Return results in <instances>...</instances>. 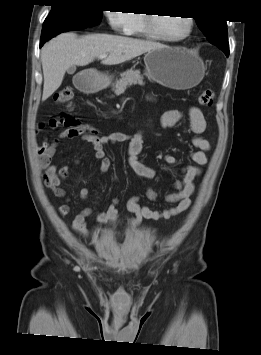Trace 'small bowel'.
<instances>
[{"label":"small bowel","mask_w":261,"mask_h":355,"mask_svg":"<svg viewBox=\"0 0 261 355\" xmlns=\"http://www.w3.org/2000/svg\"><path fill=\"white\" fill-rule=\"evenodd\" d=\"M189 126L192 133L191 148L187 152V157L190 163L184 164L181 167L182 179L174 183L172 191L166 194L163 201L172 204L170 208L164 210H154L140 203L138 197H132L128 200L126 207L133 216L129 219L130 226L135 227L142 223L143 220H161L169 219L186 211L191 205V196L195 190V178L201 173L199 166L207 163L206 151L209 148V142L201 137V134L206 130V120L202 111L197 107L189 109ZM183 118V114L178 110H170L163 114L161 125L163 128H172L176 126ZM49 125L52 128H57L59 125H64L66 129L60 132L52 140H44L37 146L39 163L44 170L43 182L50 189L54 196L62 198L65 203L57 208V212L61 217L67 216L71 211V198L66 194V191L61 187L63 181L68 177L70 166L64 165L58 167L52 164L57 148L66 139H81L89 142L93 146L94 157L101 162V172L106 173L111 166V160L106 155L105 146L127 143V161L133 172L143 178L153 179L159 175V172L151 167L146 166L139 160V155L143 150V132L139 131L133 135L124 133H110L100 135L99 132L92 126L84 124L77 119L58 120L55 126H52V121ZM42 126H40L41 128ZM164 160L169 164H176L177 158L167 154ZM81 200H86L89 196V189L82 188L79 192ZM147 197L156 201L158 195L155 191L149 190ZM118 199H113L105 211L96 212V218L100 223H115L118 219ZM95 213V210L90 207L82 209L73 219L71 229L81 233L84 236L90 234L87 218Z\"/></svg>","instance_id":"small-bowel-1"}]
</instances>
